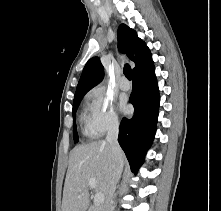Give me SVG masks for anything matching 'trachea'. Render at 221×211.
Segmentation results:
<instances>
[{
  "label": "trachea",
  "mask_w": 221,
  "mask_h": 211,
  "mask_svg": "<svg viewBox=\"0 0 221 211\" xmlns=\"http://www.w3.org/2000/svg\"><path fill=\"white\" fill-rule=\"evenodd\" d=\"M124 75L126 76V78L128 80L132 79V70H131V67L128 64H126L124 66Z\"/></svg>",
  "instance_id": "1"
}]
</instances>
